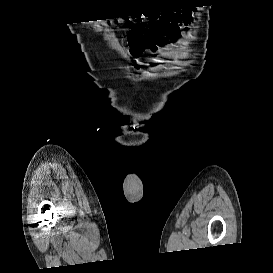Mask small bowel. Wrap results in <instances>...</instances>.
I'll return each instance as SVG.
<instances>
[{
    "label": "small bowel",
    "mask_w": 273,
    "mask_h": 273,
    "mask_svg": "<svg viewBox=\"0 0 273 273\" xmlns=\"http://www.w3.org/2000/svg\"><path fill=\"white\" fill-rule=\"evenodd\" d=\"M192 22L189 13L170 14L147 22L149 35L144 36L140 42L129 41L131 55L137 59L145 51H152L159 55H168L169 47L176 43L180 37V26L188 29ZM136 70L140 65L135 62Z\"/></svg>",
    "instance_id": "1"
}]
</instances>
